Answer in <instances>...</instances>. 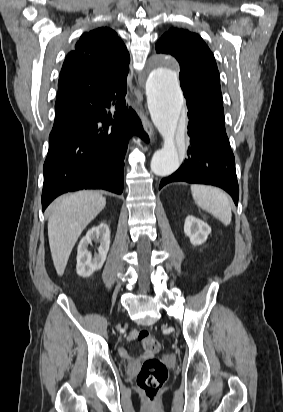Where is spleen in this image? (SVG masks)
<instances>
[{"label":"spleen","mask_w":283,"mask_h":412,"mask_svg":"<svg viewBox=\"0 0 283 412\" xmlns=\"http://www.w3.org/2000/svg\"><path fill=\"white\" fill-rule=\"evenodd\" d=\"M191 193L197 206L212 214L224 225L228 226L231 223V204L223 191L211 186L192 185Z\"/></svg>","instance_id":"spleen-1"}]
</instances>
